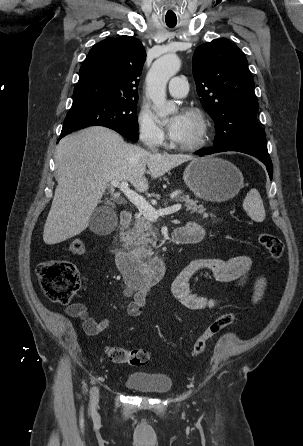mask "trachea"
I'll list each match as a JSON object with an SVG mask.
<instances>
[{
  "label": "trachea",
  "instance_id": "1",
  "mask_svg": "<svg viewBox=\"0 0 303 446\" xmlns=\"http://www.w3.org/2000/svg\"><path fill=\"white\" fill-rule=\"evenodd\" d=\"M176 24L167 23L168 27H174Z\"/></svg>",
  "mask_w": 303,
  "mask_h": 446
}]
</instances>
